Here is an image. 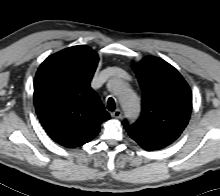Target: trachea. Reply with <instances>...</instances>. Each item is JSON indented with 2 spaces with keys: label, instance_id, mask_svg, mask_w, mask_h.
I'll use <instances>...</instances> for the list:
<instances>
[{
  "label": "trachea",
  "instance_id": "obj_1",
  "mask_svg": "<svg viewBox=\"0 0 220 196\" xmlns=\"http://www.w3.org/2000/svg\"><path fill=\"white\" fill-rule=\"evenodd\" d=\"M107 109L109 111H114L116 109L115 101L112 97H110L107 101Z\"/></svg>",
  "mask_w": 220,
  "mask_h": 196
}]
</instances>
